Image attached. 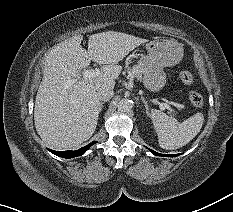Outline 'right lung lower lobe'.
Instances as JSON below:
<instances>
[{"label":"right lung lower lobe","mask_w":233,"mask_h":212,"mask_svg":"<svg viewBox=\"0 0 233 212\" xmlns=\"http://www.w3.org/2000/svg\"><path fill=\"white\" fill-rule=\"evenodd\" d=\"M96 142H92L89 145H86L85 147H82L78 150L75 151H54V150H50V152H52L53 154L59 156V157H63V158H73V157H77V156H81L82 154H84L93 144H95Z\"/></svg>","instance_id":"right-lung-lower-lobe-1"}]
</instances>
